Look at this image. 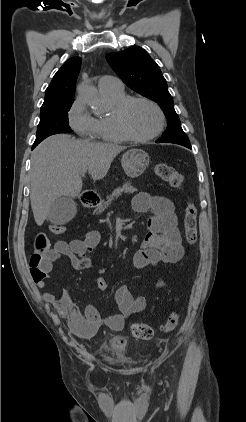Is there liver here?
I'll return each mask as SVG.
<instances>
[{
	"mask_svg": "<svg viewBox=\"0 0 246 422\" xmlns=\"http://www.w3.org/2000/svg\"><path fill=\"white\" fill-rule=\"evenodd\" d=\"M124 149L114 144L76 140L65 134L40 143L31 155L30 170V201L36 224L44 223L57 198L80 194L83 170H88L93 180H101Z\"/></svg>",
	"mask_w": 246,
	"mask_h": 422,
	"instance_id": "obj_1",
	"label": "liver"
}]
</instances>
